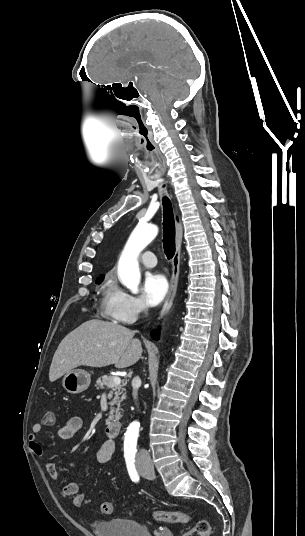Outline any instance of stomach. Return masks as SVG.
Wrapping results in <instances>:
<instances>
[{
    "label": "stomach",
    "instance_id": "obj_1",
    "mask_svg": "<svg viewBox=\"0 0 305 536\" xmlns=\"http://www.w3.org/2000/svg\"><path fill=\"white\" fill-rule=\"evenodd\" d=\"M90 382V374L85 370H71L63 376L62 386L69 394H81L89 388Z\"/></svg>",
    "mask_w": 305,
    "mask_h": 536
}]
</instances>
